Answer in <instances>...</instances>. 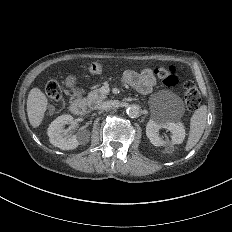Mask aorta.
Masks as SVG:
<instances>
[{
	"label": "aorta",
	"mask_w": 232,
	"mask_h": 232,
	"mask_svg": "<svg viewBox=\"0 0 232 232\" xmlns=\"http://www.w3.org/2000/svg\"><path fill=\"white\" fill-rule=\"evenodd\" d=\"M141 108L137 104H131L126 108V113L131 118H137L140 115Z\"/></svg>",
	"instance_id": "1"
}]
</instances>
